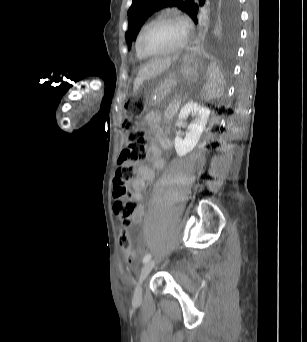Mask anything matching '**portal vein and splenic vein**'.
Masks as SVG:
<instances>
[{"mask_svg": "<svg viewBox=\"0 0 307 342\" xmlns=\"http://www.w3.org/2000/svg\"><path fill=\"white\" fill-rule=\"evenodd\" d=\"M180 107H181V106H180V105H178L176 108H178V109H179Z\"/></svg>", "mask_w": 307, "mask_h": 342, "instance_id": "1", "label": "portal vein and splenic vein"}]
</instances>
